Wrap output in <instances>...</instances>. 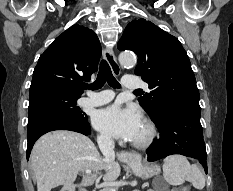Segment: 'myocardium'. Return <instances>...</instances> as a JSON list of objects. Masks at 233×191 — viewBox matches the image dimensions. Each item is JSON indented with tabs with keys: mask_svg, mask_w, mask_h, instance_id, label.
Listing matches in <instances>:
<instances>
[{
	"mask_svg": "<svg viewBox=\"0 0 233 191\" xmlns=\"http://www.w3.org/2000/svg\"><path fill=\"white\" fill-rule=\"evenodd\" d=\"M143 123L147 128V135L143 140L140 141H132L131 145L137 149H146L148 148L153 141L155 140L157 129L154 122L148 118L143 119Z\"/></svg>",
	"mask_w": 233,
	"mask_h": 191,
	"instance_id": "myocardium-1",
	"label": "myocardium"
}]
</instances>
